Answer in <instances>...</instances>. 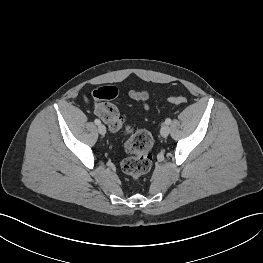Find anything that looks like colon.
I'll list each match as a JSON object with an SVG mask.
<instances>
[{
  "label": "colon",
  "mask_w": 263,
  "mask_h": 263,
  "mask_svg": "<svg viewBox=\"0 0 263 263\" xmlns=\"http://www.w3.org/2000/svg\"><path fill=\"white\" fill-rule=\"evenodd\" d=\"M117 96V89L113 86L96 87L92 92L93 100L97 103L96 115L106 123L113 133L125 136L124 149L129 155L121 163V169L132 180H139L152 167L153 137L147 130L136 129L127 124L125 117L110 101ZM183 96H173L170 102L175 105L186 103Z\"/></svg>",
  "instance_id": "1"
}]
</instances>
